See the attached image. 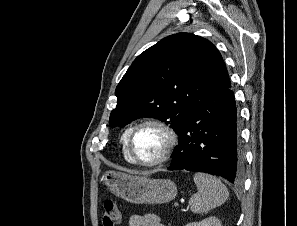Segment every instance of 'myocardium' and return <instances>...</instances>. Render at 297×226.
<instances>
[{"mask_svg":"<svg viewBox=\"0 0 297 226\" xmlns=\"http://www.w3.org/2000/svg\"><path fill=\"white\" fill-rule=\"evenodd\" d=\"M144 126H155L160 129L166 136V143L161 154L154 160L143 161L140 160L133 150V138L138 129ZM178 143V134L175 129L166 121L159 118H146L134 124L128 133L126 139V149L132 162L146 168H153L160 166L168 161Z\"/></svg>","mask_w":297,"mask_h":226,"instance_id":"1","label":"myocardium"}]
</instances>
